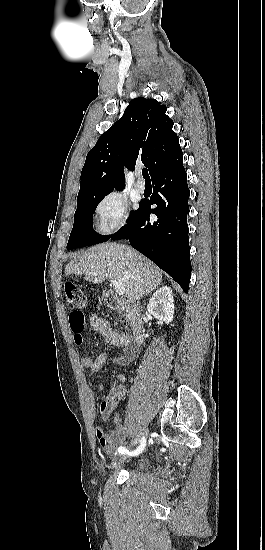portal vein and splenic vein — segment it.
<instances>
[{"label": "portal vein and splenic vein", "mask_w": 265, "mask_h": 550, "mask_svg": "<svg viewBox=\"0 0 265 550\" xmlns=\"http://www.w3.org/2000/svg\"><path fill=\"white\" fill-rule=\"evenodd\" d=\"M110 282L115 287V291L119 296H122L125 294V288L123 287L120 281L110 279Z\"/></svg>", "instance_id": "obj_1"}]
</instances>
